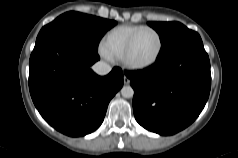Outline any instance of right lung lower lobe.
<instances>
[{
    "label": "right lung lower lobe",
    "instance_id": "obj_1",
    "mask_svg": "<svg viewBox=\"0 0 238 158\" xmlns=\"http://www.w3.org/2000/svg\"><path fill=\"white\" fill-rule=\"evenodd\" d=\"M97 51L64 35H51L35 44L29 61V90L42 117L71 137L95 131L110 100L123 86L118 67L98 76L90 66Z\"/></svg>",
    "mask_w": 238,
    "mask_h": 158
}]
</instances>
